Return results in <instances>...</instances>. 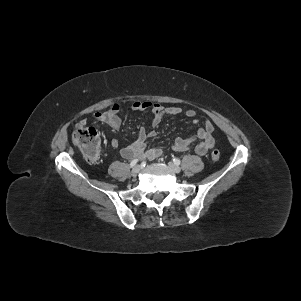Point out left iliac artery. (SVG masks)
I'll list each match as a JSON object with an SVG mask.
<instances>
[{"label":"left iliac artery","mask_w":301,"mask_h":301,"mask_svg":"<svg viewBox=\"0 0 301 301\" xmlns=\"http://www.w3.org/2000/svg\"><path fill=\"white\" fill-rule=\"evenodd\" d=\"M173 161H174V163H175L176 165H179V164H180V159H178V158L173 159Z\"/></svg>","instance_id":"left-iliac-artery-1"}]
</instances>
